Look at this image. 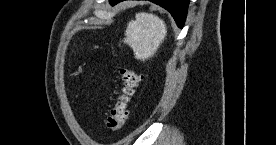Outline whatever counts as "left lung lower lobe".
<instances>
[{
    "label": "left lung lower lobe",
    "mask_w": 276,
    "mask_h": 145,
    "mask_svg": "<svg viewBox=\"0 0 276 145\" xmlns=\"http://www.w3.org/2000/svg\"><path fill=\"white\" fill-rule=\"evenodd\" d=\"M111 5H115L123 0H109ZM168 10L175 19L178 27L182 28L187 16L189 0H149Z\"/></svg>",
    "instance_id": "obj_1"
}]
</instances>
